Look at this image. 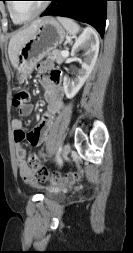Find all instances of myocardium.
Returning a JSON list of instances; mask_svg holds the SVG:
<instances>
[{"label": "myocardium", "instance_id": "f54148a6", "mask_svg": "<svg viewBox=\"0 0 133 253\" xmlns=\"http://www.w3.org/2000/svg\"><path fill=\"white\" fill-rule=\"evenodd\" d=\"M47 6H48V2L44 1L42 6L33 15H31L30 17L25 18V19H20L16 16V14L13 10V7H12V2L8 3V11L10 13V16H11L12 20L15 23L23 24V23L29 22V21L35 19L36 17H38L40 14H42L46 10Z\"/></svg>", "mask_w": 133, "mask_h": 253}]
</instances>
